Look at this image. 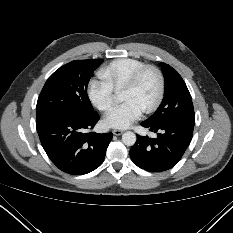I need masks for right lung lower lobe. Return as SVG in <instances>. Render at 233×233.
Segmentation results:
<instances>
[{"label":"right lung lower lobe","instance_id":"1","mask_svg":"<svg viewBox=\"0 0 233 233\" xmlns=\"http://www.w3.org/2000/svg\"><path fill=\"white\" fill-rule=\"evenodd\" d=\"M99 120L97 112L85 116H54L36 122L41 144L50 160L72 175L87 174L104 161L112 133H84Z\"/></svg>","mask_w":233,"mask_h":233}]
</instances>
